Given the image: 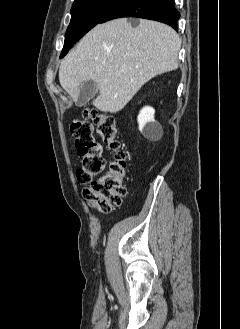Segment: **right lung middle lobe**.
<instances>
[{"instance_id":"obj_1","label":"right lung middle lobe","mask_w":240,"mask_h":329,"mask_svg":"<svg viewBox=\"0 0 240 329\" xmlns=\"http://www.w3.org/2000/svg\"><path fill=\"white\" fill-rule=\"evenodd\" d=\"M121 0H75L71 9V21L67 28L64 47L60 58L64 57L72 45L99 23Z\"/></svg>"}]
</instances>
